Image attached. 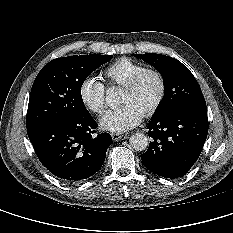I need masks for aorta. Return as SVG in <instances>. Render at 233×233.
I'll use <instances>...</instances> for the list:
<instances>
[{
    "label": "aorta",
    "instance_id": "762f6f07",
    "mask_svg": "<svg viewBox=\"0 0 233 233\" xmlns=\"http://www.w3.org/2000/svg\"><path fill=\"white\" fill-rule=\"evenodd\" d=\"M116 99L117 92L115 91V89L108 88L106 90V102L108 103V105L112 106L113 104H115ZM129 143L131 148L135 151H143L148 146V138L143 133L138 132L130 137Z\"/></svg>",
    "mask_w": 233,
    "mask_h": 233
}]
</instances>
